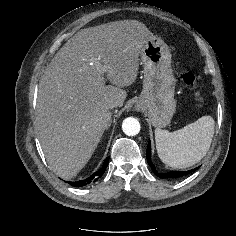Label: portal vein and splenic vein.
<instances>
[{
  "instance_id": "1",
  "label": "portal vein and splenic vein",
  "mask_w": 236,
  "mask_h": 236,
  "mask_svg": "<svg viewBox=\"0 0 236 236\" xmlns=\"http://www.w3.org/2000/svg\"><path fill=\"white\" fill-rule=\"evenodd\" d=\"M92 64H93V63H92ZM96 65H97V66H100V65H99V62H97ZM102 70H105V68H102Z\"/></svg>"
}]
</instances>
